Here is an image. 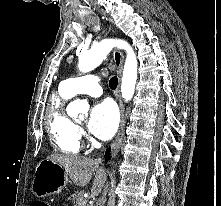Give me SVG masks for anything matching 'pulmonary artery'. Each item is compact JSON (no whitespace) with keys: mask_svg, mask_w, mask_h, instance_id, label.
<instances>
[{"mask_svg":"<svg viewBox=\"0 0 221 206\" xmlns=\"http://www.w3.org/2000/svg\"><path fill=\"white\" fill-rule=\"evenodd\" d=\"M101 79L94 74H86L80 77L67 79L62 82L64 91L75 96L78 94H87L93 97H98L102 94L100 86Z\"/></svg>","mask_w":221,"mask_h":206,"instance_id":"pulmonary-artery-1","label":"pulmonary artery"}]
</instances>
